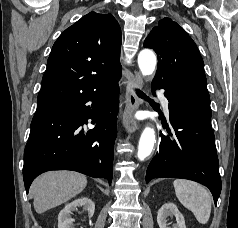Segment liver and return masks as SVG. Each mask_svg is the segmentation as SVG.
Here are the masks:
<instances>
[{
	"mask_svg": "<svg viewBox=\"0 0 238 228\" xmlns=\"http://www.w3.org/2000/svg\"><path fill=\"white\" fill-rule=\"evenodd\" d=\"M87 185L86 176L72 171L47 172L37 177L30 192L38 214L69 201Z\"/></svg>",
	"mask_w": 238,
	"mask_h": 228,
	"instance_id": "6515ba94",
	"label": "liver"
}]
</instances>
